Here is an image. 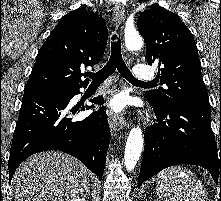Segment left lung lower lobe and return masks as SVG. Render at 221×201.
Returning a JSON list of instances; mask_svg holds the SVG:
<instances>
[{
  "mask_svg": "<svg viewBox=\"0 0 221 201\" xmlns=\"http://www.w3.org/2000/svg\"><path fill=\"white\" fill-rule=\"evenodd\" d=\"M148 101L157 122L145 130L138 188L159 171L178 164L203 166L217 184L219 178L221 183V154L219 159L210 125V105L187 103L162 107Z\"/></svg>",
  "mask_w": 221,
  "mask_h": 201,
  "instance_id": "obj_1",
  "label": "left lung lower lobe"
}]
</instances>
